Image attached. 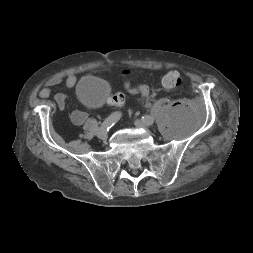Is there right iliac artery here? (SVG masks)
<instances>
[{"label":"right iliac artery","instance_id":"right-iliac-artery-1","mask_svg":"<svg viewBox=\"0 0 253 253\" xmlns=\"http://www.w3.org/2000/svg\"><path fill=\"white\" fill-rule=\"evenodd\" d=\"M121 112H114L101 124L100 128H106L107 130L111 128L115 123L121 118Z\"/></svg>","mask_w":253,"mask_h":253}]
</instances>
